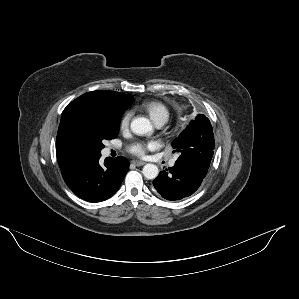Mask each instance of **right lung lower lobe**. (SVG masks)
Here are the masks:
<instances>
[{"label": "right lung lower lobe", "instance_id": "obj_1", "mask_svg": "<svg viewBox=\"0 0 299 299\" xmlns=\"http://www.w3.org/2000/svg\"><path fill=\"white\" fill-rule=\"evenodd\" d=\"M100 157L101 153L88 154L62 169L68 187L89 202H100L115 194L129 168L124 157H108L104 164H100Z\"/></svg>", "mask_w": 299, "mask_h": 299}]
</instances>
